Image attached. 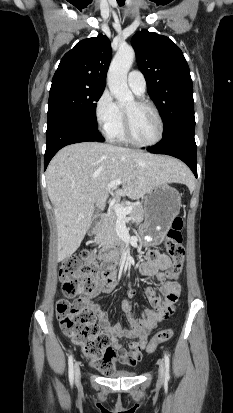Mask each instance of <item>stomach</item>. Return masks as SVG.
I'll use <instances>...</instances> for the list:
<instances>
[{"label": "stomach", "mask_w": 233, "mask_h": 413, "mask_svg": "<svg viewBox=\"0 0 233 413\" xmlns=\"http://www.w3.org/2000/svg\"><path fill=\"white\" fill-rule=\"evenodd\" d=\"M180 208L181 197L175 188L168 184L154 187L143 199L145 221L140 235L150 244H160Z\"/></svg>", "instance_id": "0dacf381"}]
</instances>
